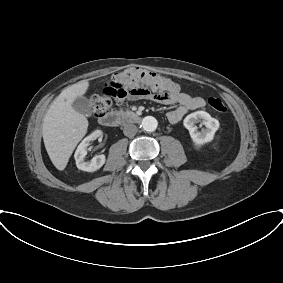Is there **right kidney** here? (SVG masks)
I'll return each instance as SVG.
<instances>
[{"label": "right kidney", "instance_id": "1", "mask_svg": "<svg viewBox=\"0 0 283 283\" xmlns=\"http://www.w3.org/2000/svg\"><path fill=\"white\" fill-rule=\"evenodd\" d=\"M101 136H102V131L96 130L93 133H91L89 136L84 138L83 141L77 147L74 154V158L76 161V166L79 170L94 172L100 169L104 165L106 158L105 155L103 154L93 157L90 161H85V157L87 155V148L91 140H95Z\"/></svg>", "mask_w": 283, "mask_h": 283}]
</instances>
